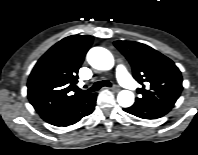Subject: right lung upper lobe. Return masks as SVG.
<instances>
[{
    "label": "right lung upper lobe",
    "mask_w": 198,
    "mask_h": 155,
    "mask_svg": "<svg viewBox=\"0 0 198 155\" xmlns=\"http://www.w3.org/2000/svg\"><path fill=\"white\" fill-rule=\"evenodd\" d=\"M92 41V36L66 37L38 60L27 86L29 101L40 115L68 106L88 94L78 92L75 84Z\"/></svg>",
    "instance_id": "cb5924a9"
}]
</instances>
